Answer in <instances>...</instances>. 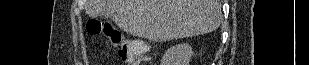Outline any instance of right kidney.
I'll return each mask as SVG.
<instances>
[{
	"label": "right kidney",
	"mask_w": 309,
	"mask_h": 65,
	"mask_svg": "<svg viewBox=\"0 0 309 65\" xmlns=\"http://www.w3.org/2000/svg\"><path fill=\"white\" fill-rule=\"evenodd\" d=\"M192 57V47L181 43L168 49L162 59V65H189Z\"/></svg>",
	"instance_id": "obj_1"
}]
</instances>
